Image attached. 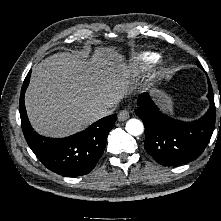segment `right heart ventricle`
<instances>
[{"label": "right heart ventricle", "instance_id": "obj_1", "mask_svg": "<svg viewBox=\"0 0 221 221\" xmlns=\"http://www.w3.org/2000/svg\"><path fill=\"white\" fill-rule=\"evenodd\" d=\"M159 59V54L155 52H143L136 55L131 62L135 73L151 67Z\"/></svg>", "mask_w": 221, "mask_h": 221}]
</instances>
